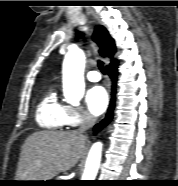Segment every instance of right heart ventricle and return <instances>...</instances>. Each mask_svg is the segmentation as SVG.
Wrapping results in <instances>:
<instances>
[{"instance_id": "1", "label": "right heart ventricle", "mask_w": 178, "mask_h": 186, "mask_svg": "<svg viewBox=\"0 0 178 186\" xmlns=\"http://www.w3.org/2000/svg\"><path fill=\"white\" fill-rule=\"evenodd\" d=\"M69 107L59 101L54 91L39 102L36 109L37 124L45 130L58 131L68 125Z\"/></svg>"}]
</instances>
